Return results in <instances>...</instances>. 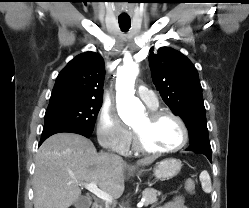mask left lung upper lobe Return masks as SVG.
Masks as SVG:
<instances>
[{
    "mask_svg": "<svg viewBox=\"0 0 249 208\" xmlns=\"http://www.w3.org/2000/svg\"><path fill=\"white\" fill-rule=\"evenodd\" d=\"M153 83L164 102L186 124L190 144L210 146L202 87L194 65L181 52L161 47L149 55Z\"/></svg>",
    "mask_w": 249,
    "mask_h": 208,
    "instance_id": "obj_1",
    "label": "left lung upper lobe"
}]
</instances>
